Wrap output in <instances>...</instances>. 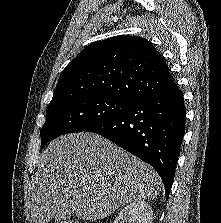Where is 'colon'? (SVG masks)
<instances>
[{
    "label": "colon",
    "instance_id": "colon-1",
    "mask_svg": "<svg viewBox=\"0 0 221 223\" xmlns=\"http://www.w3.org/2000/svg\"><path fill=\"white\" fill-rule=\"evenodd\" d=\"M53 223H78V222L72 219H62V220H57ZM85 223H96V222H85Z\"/></svg>",
    "mask_w": 221,
    "mask_h": 223
}]
</instances>
